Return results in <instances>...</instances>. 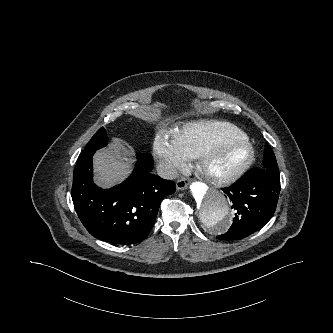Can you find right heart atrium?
<instances>
[{"mask_svg":"<svg viewBox=\"0 0 333 333\" xmlns=\"http://www.w3.org/2000/svg\"><path fill=\"white\" fill-rule=\"evenodd\" d=\"M153 153L159 163L161 172L166 177H174L182 171L188 159L177 147L173 139L165 134H157L153 141Z\"/></svg>","mask_w":333,"mask_h":333,"instance_id":"1","label":"right heart atrium"}]
</instances>
